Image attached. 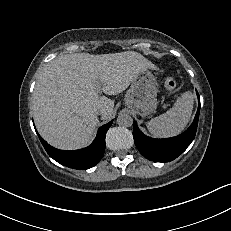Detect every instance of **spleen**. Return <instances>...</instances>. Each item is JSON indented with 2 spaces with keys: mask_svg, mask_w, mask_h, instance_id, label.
Masks as SVG:
<instances>
[{
  "mask_svg": "<svg viewBox=\"0 0 231 231\" xmlns=\"http://www.w3.org/2000/svg\"><path fill=\"white\" fill-rule=\"evenodd\" d=\"M193 103L194 97L190 91L182 93L172 108L147 122L148 131L159 138L173 137L180 134L190 120Z\"/></svg>",
  "mask_w": 231,
  "mask_h": 231,
  "instance_id": "spleen-1",
  "label": "spleen"
}]
</instances>
